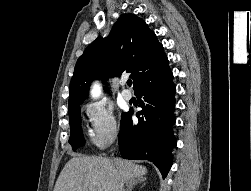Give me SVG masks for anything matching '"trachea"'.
<instances>
[{
	"mask_svg": "<svg viewBox=\"0 0 251 191\" xmlns=\"http://www.w3.org/2000/svg\"><path fill=\"white\" fill-rule=\"evenodd\" d=\"M127 85L131 86L132 85V80H127Z\"/></svg>",
	"mask_w": 251,
	"mask_h": 191,
	"instance_id": "trachea-1",
	"label": "trachea"
}]
</instances>
